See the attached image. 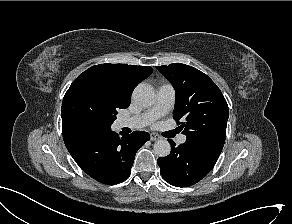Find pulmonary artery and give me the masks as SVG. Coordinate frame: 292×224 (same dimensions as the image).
Wrapping results in <instances>:
<instances>
[{
    "instance_id": "obj_1",
    "label": "pulmonary artery",
    "mask_w": 292,
    "mask_h": 224,
    "mask_svg": "<svg viewBox=\"0 0 292 224\" xmlns=\"http://www.w3.org/2000/svg\"><path fill=\"white\" fill-rule=\"evenodd\" d=\"M175 100V89L170 84H164L157 88L156 100L153 106L141 115L121 118L118 120L119 127H128L132 129H140L150 125L156 119L167 114ZM186 136L181 135L178 139L179 143H184Z\"/></svg>"
}]
</instances>
